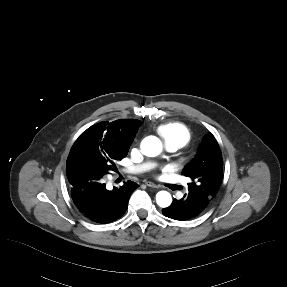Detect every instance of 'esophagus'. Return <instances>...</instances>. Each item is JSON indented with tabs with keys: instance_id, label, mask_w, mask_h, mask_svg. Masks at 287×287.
Instances as JSON below:
<instances>
[{
	"instance_id": "esophagus-1",
	"label": "esophagus",
	"mask_w": 287,
	"mask_h": 287,
	"mask_svg": "<svg viewBox=\"0 0 287 287\" xmlns=\"http://www.w3.org/2000/svg\"><path fill=\"white\" fill-rule=\"evenodd\" d=\"M146 185H147L148 187H151V188H158V186H157L156 184H154V183H152V182H149V181L146 182Z\"/></svg>"
}]
</instances>
